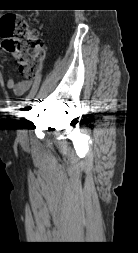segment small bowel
<instances>
[{
    "instance_id": "c3829d8e",
    "label": "small bowel",
    "mask_w": 138,
    "mask_h": 253,
    "mask_svg": "<svg viewBox=\"0 0 138 253\" xmlns=\"http://www.w3.org/2000/svg\"><path fill=\"white\" fill-rule=\"evenodd\" d=\"M6 58L0 59V64L7 63ZM33 79L32 78H25L21 80H17L15 77H10L7 81V87L11 89L15 95L22 96L24 95L32 86Z\"/></svg>"
}]
</instances>
